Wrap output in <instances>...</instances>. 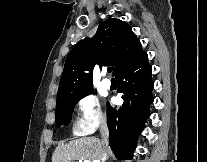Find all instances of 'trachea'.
<instances>
[{
    "label": "trachea",
    "mask_w": 207,
    "mask_h": 162,
    "mask_svg": "<svg viewBox=\"0 0 207 162\" xmlns=\"http://www.w3.org/2000/svg\"><path fill=\"white\" fill-rule=\"evenodd\" d=\"M108 72H109V73L112 72V68H111V67L108 68Z\"/></svg>",
    "instance_id": "trachea-1"
}]
</instances>
